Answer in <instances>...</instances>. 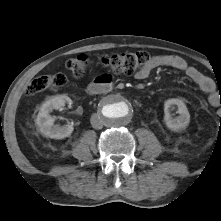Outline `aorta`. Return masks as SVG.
I'll use <instances>...</instances> for the list:
<instances>
[{
	"instance_id": "762f6f07",
	"label": "aorta",
	"mask_w": 221,
	"mask_h": 221,
	"mask_svg": "<svg viewBox=\"0 0 221 221\" xmlns=\"http://www.w3.org/2000/svg\"><path fill=\"white\" fill-rule=\"evenodd\" d=\"M132 111V104L125 97L114 95L103 102L100 114L106 125L120 127L131 120Z\"/></svg>"
}]
</instances>
